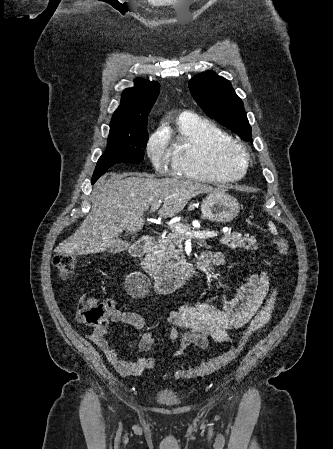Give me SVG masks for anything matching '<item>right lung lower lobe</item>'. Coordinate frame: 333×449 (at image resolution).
I'll list each match as a JSON object with an SVG mask.
<instances>
[{
	"instance_id": "obj_1",
	"label": "right lung lower lobe",
	"mask_w": 333,
	"mask_h": 449,
	"mask_svg": "<svg viewBox=\"0 0 333 449\" xmlns=\"http://www.w3.org/2000/svg\"><path fill=\"white\" fill-rule=\"evenodd\" d=\"M95 182H96V180H92V182H91V183H92V184H94Z\"/></svg>"
}]
</instances>
